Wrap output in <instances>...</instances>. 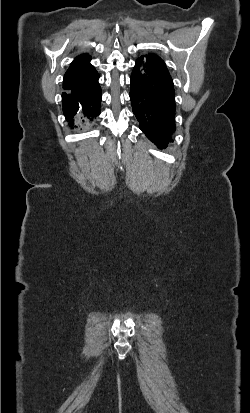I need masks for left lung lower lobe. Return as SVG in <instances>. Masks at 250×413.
Wrapping results in <instances>:
<instances>
[{
    "mask_svg": "<svg viewBox=\"0 0 250 413\" xmlns=\"http://www.w3.org/2000/svg\"><path fill=\"white\" fill-rule=\"evenodd\" d=\"M130 99L140 129L158 148L175 131V95L165 63L154 54L139 57L131 75Z\"/></svg>",
    "mask_w": 250,
    "mask_h": 413,
    "instance_id": "0a47b994",
    "label": "left lung lower lobe"
}]
</instances>
